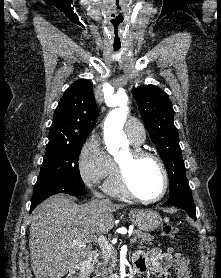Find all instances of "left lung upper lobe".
Instances as JSON below:
<instances>
[{
	"label": "left lung upper lobe",
	"mask_w": 221,
	"mask_h": 278,
	"mask_svg": "<svg viewBox=\"0 0 221 278\" xmlns=\"http://www.w3.org/2000/svg\"><path fill=\"white\" fill-rule=\"evenodd\" d=\"M132 94L151 140L166 166L170 182L169 199L184 191L191 192L168 95L154 85L135 88Z\"/></svg>",
	"instance_id": "1"
}]
</instances>
